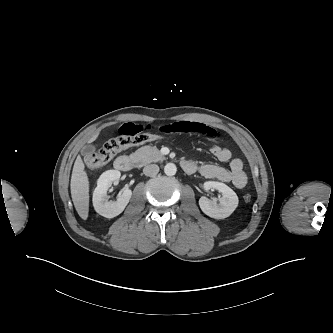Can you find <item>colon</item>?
I'll list each match as a JSON object with an SVG mask.
<instances>
[{
    "mask_svg": "<svg viewBox=\"0 0 333 333\" xmlns=\"http://www.w3.org/2000/svg\"><path fill=\"white\" fill-rule=\"evenodd\" d=\"M161 139H163L161 135L150 133H141L134 136H120L107 141L98 152L89 154L85 159V163L89 168L97 169L107 164L116 154L124 149ZM244 200L245 202H250L251 195H244Z\"/></svg>",
    "mask_w": 333,
    "mask_h": 333,
    "instance_id": "obj_1",
    "label": "colon"
}]
</instances>
